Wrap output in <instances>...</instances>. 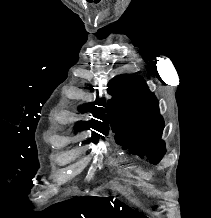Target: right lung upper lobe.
I'll use <instances>...</instances> for the list:
<instances>
[{"mask_svg": "<svg viewBox=\"0 0 211 218\" xmlns=\"http://www.w3.org/2000/svg\"><path fill=\"white\" fill-rule=\"evenodd\" d=\"M92 89V87H91ZM104 101H100L99 99H97V101L95 103H90L89 105H84L81 108V111H91L95 117L99 118L100 120H102L103 122H100L98 120H91L88 123H78L77 124V129H83L85 127L87 128H93L95 130L98 131H103V133L105 134V132L108 129V120L106 118V115L104 114V109L100 108V107H96L95 105H104ZM93 135H98L97 133L93 132Z\"/></svg>", "mask_w": 211, "mask_h": 218, "instance_id": "1", "label": "right lung upper lobe"}]
</instances>
